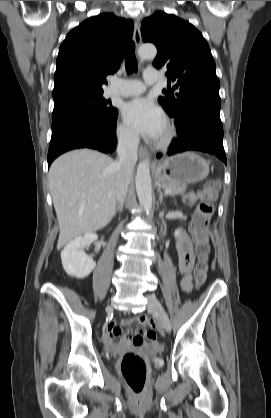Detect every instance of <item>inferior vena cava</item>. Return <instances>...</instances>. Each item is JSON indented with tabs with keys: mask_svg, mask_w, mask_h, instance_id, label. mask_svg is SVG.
I'll use <instances>...</instances> for the list:
<instances>
[{
	"mask_svg": "<svg viewBox=\"0 0 271 418\" xmlns=\"http://www.w3.org/2000/svg\"><path fill=\"white\" fill-rule=\"evenodd\" d=\"M138 141L137 134H130L120 140L117 147L119 159L115 163L117 167L115 190L119 204L124 202L127 195L128 185L137 161Z\"/></svg>",
	"mask_w": 271,
	"mask_h": 418,
	"instance_id": "602c4592",
	"label": "inferior vena cava"
}]
</instances>
